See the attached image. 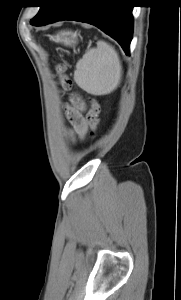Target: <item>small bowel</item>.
<instances>
[{"label":"small bowel","instance_id":"small-bowel-1","mask_svg":"<svg viewBox=\"0 0 181 300\" xmlns=\"http://www.w3.org/2000/svg\"><path fill=\"white\" fill-rule=\"evenodd\" d=\"M82 109H83V104L70 111V117L73 124V131L71 133L72 137L77 136L79 138H83L86 134L87 125L81 114Z\"/></svg>","mask_w":181,"mask_h":300}]
</instances>
